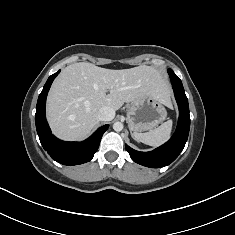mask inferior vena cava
Segmentation results:
<instances>
[{
	"mask_svg": "<svg viewBox=\"0 0 235 235\" xmlns=\"http://www.w3.org/2000/svg\"><path fill=\"white\" fill-rule=\"evenodd\" d=\"M115 117V111L108 106H103L99 109L98 118L101 121H111Z\"/></svg>",
	"mask_w": 235,
	"mask_h": 235,
	"instance_id": "obj_1",
	"label": "inferior vena cava"
}]
</instances>
